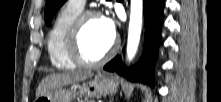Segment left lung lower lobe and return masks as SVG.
Masks as SVG:
<instances>
[{"label":"left lung lower lobe","instance_id":"0a47b994","mask_svg":"<svg viewBox=\"0 0 221 102\" xmlns=\"http://www.w3.org/2000/svg\"><path fill=\"white\" fill-rule=\"evenodd\" d=\"M164 5V0H144L143 2L146 44L140 62L128 70L123 67L121 57L116 56L104 67L105 70L116 71L119 75H126L131 81L154 85L153 67L157 59V50L160 43Z\"/></svg>","mask_w":221,"mask_h":102}]
</instances>
